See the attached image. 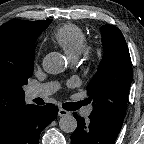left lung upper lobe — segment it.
<instances>
[{
  "instance_id": "5c2ea615",
  "label": "left lung upper lobe",
  "mask_w": 144,
  "mask_h": 144,
  "mask_svg": "<svg viewBox=\"0 0 144 144\" xmlns=\"http://www.w3.org/2000/svg\"><path fill=\"white\" fill-rule=\"evenodd\" d=\"M104 56L95 76L87 86L93 101L92 115L122 127L132 80L131 58L121 31L112 25H103Z\"/></svg>"
}]
</instances>
